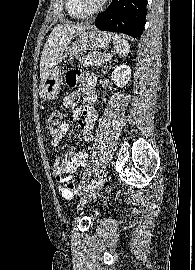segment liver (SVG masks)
<instances>
[{"mask_svg":"<svg viewBox=\"0 0 195 270\" xmlns=\"http://www.w3.org/2000/svg\"><path fill=\"white\" fill-rule=\"evenodd\" d=\"M87 24H58L49 35L42 52L40 61V78L41 85L51 68L57 65L63 52L67 49L69 43L80 35L83 31L89 29Z\"/></svg>","mask_w":195,"mask_h":270,"instance_id":"6515ba94","label":"liver"}]
</instances>
